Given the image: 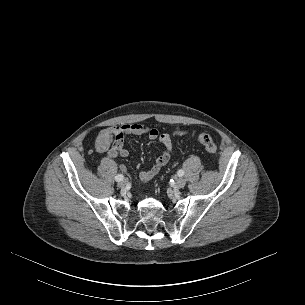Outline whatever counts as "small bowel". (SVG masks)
Returning a JSON list of instances; mask_svg holds the SVG:
<instances>
[{"label":"small bowel","mask_w":305,"mask_h":305,"mask_svg":"<svg viewBox=\"0 0 305 305\" xmlns=\"http://www.w3.org/2000/svg\"><path fill=\"white\" fill-rule=\"evenodd\" d=\"M192 131L182 127H176L172 135L168 133H159L156 128L148 127L142 124H125L121 126H110L102 129L96 138V149L98 152L105 153L110 158L130 157V152L123 147L124 139L128 135H146L150 139H157L163 149L159 156L156 157L151 168L143 170L140 178L143 181L152 179L171 159L173 154L172 136L179 138L191 134ZM123 171L126 170L121 165Z\"/></svg>","instance_id":"small-bowel-1"}]
</instances>
